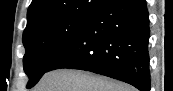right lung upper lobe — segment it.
I'll use <instances>...</instances> for the list:
<instances>
[{"instance_id":"obj_1","label":"right lung upper lobe","mask_w":173,"mask_h":91,"mask_svg":"<svg viewBox=\"0 0 173 91\" xmlns=\"http://www.w3.org/2000/svg\"><path fill=\"white\" fill-rule=\"evenodd\" d=\"M110 0H32L27 12V27L60 17L95 13Z\"/></svg>"}]
</instances>
